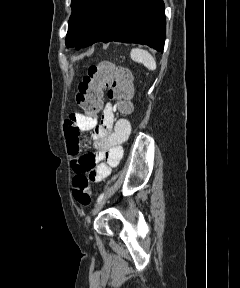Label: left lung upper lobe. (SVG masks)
Segmentation results:
<instances>
[{
	"mask_svg": "<svg viewBox=\"0 0 240 288\" xmlns=\"http://www.w3.org/2000/svg\"><path fill=\"white\" fill-rule=\"evenodd\" d=\"M109 0H71L66 45L81 48L92 34Z\"/></svg>",
	"mask_w": 240,
	"mask_h": 288,
	"instance_id": "obj_1",
	"label": "left lung upper lobe"
}]
</instances>
